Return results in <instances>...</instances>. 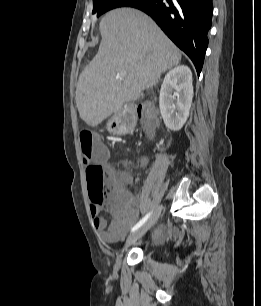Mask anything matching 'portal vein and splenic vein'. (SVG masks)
<instances>
[{
    "instance_id": "18ae733b",
    "label": "portal vein and splenic vein",
    "mask_w": 261,
    "mask_h": 306,
    "mask_svg": "<svg viewBox=\"0 0 261 306\" xmlns=\"http://www.w3.org/2000/svg\"><path fill=\"white\" fill-rule=\"evenodd\" d=\"M125 75H126V73H125V72H122V73H120V74L117 75V78H120L121 76H125Z\"/></svg>"
}]
</instances>
